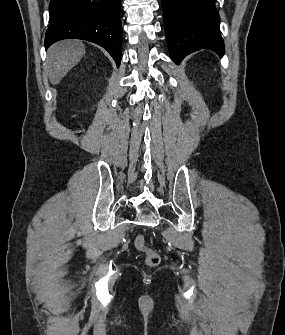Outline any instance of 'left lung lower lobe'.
I'll return each instance as SVG.
<instances>
[{"mask_svg": "<svg viewBox=\"0 0 285 335\" xmlns=\"http://www.w3.org/2000/svg\"><path fill=\"white\" fill-rule=\"evenodd\" d=\"M162 8L168 48L176 64L200 49L224 54L215 0H162Z\"/></svg>", "mask_w": 285, "mask_h": 335, "instance_id": "left-lung-lower-lobe-1", "label": "left lung lower lobe"}]
</instances>
